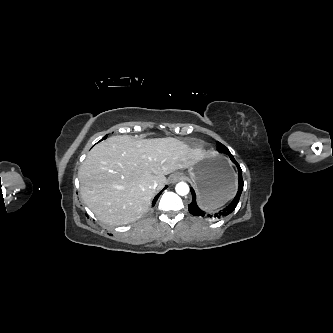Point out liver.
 Here are the masks:
<instances>
[{
  "mask_svg": "<svg viewBox=\"0 0 333 333\" xmlns=\"http://www.w3.org/2000/svg\"><path fill=\"white\" fill-rule=\"evenodd\" d=\"M204 155L201 149L172 137L112 136L95 145L79 167L81 196L105 224H128L148 211L166 175L190 168ZM154 183L157 189L151 188Z\"/></svg>",
  "mask_w": 333,
  "mask_h": 333,
  "instance_id": "6515ba94",
  "label": "liver"
}]
</instances>
